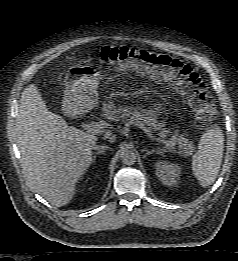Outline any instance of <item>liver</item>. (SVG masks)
<instances>
[{"label":"liver","mask_w":238,"mask_h":261,"mask_svg":"<svg viewBox=\"0 0 238 261\" xmlns=\"http://www.w3.org/2000/svg\"><path fill=\"white\" fill-rule=\"evenodd\" d=\"M16 131L30 188L56 207L68 204L91 165L97 136L68 126L61 116L50 112L34 84L21 95Z\"/></svg>","instance_id":"liver-1"}]
</instances>
